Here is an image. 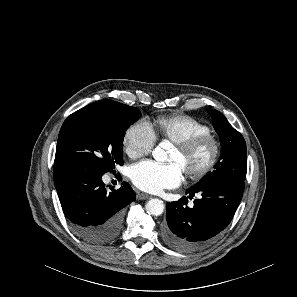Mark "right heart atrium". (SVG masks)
Returning a JSON list of instances; mask_svg holds the SVG:
<instances>
[{
	"mask_svg": "<svg viewBox=\"0 0 297 297\" xmlns=\"http://www.w3.org/2000/svg\"><path fill=\"white\" fill-rule=\"evenodd\" d=\"M156 142V135L151 124L141 120L130 126L124 135L123 144L126 154L137 159L150 154Z\"/></svg>",
	"mask_w": 297,
	"mask_h": 297,
	"instance_id": "right-heart-atrium-1",
	"label": "right heart atrium"
}]
</instances>
